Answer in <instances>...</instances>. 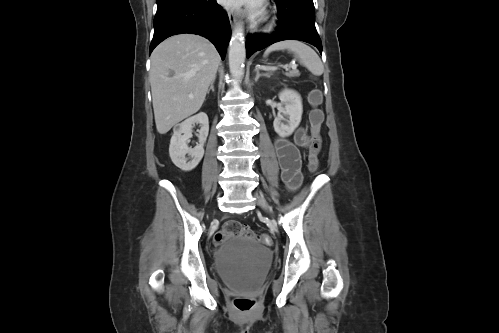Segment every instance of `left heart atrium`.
Returning a JSON list of instances; mask_svg holds the SVG:
<instances>
[{"mask_svg": "<svg viewBox=\"0 0 499 333\" xmlns=\"http://www.w3.org/2000/svg\"><path fill=\"white\" fill-rule=\"evenodd\" d=\"M221 2L227 8H239L246 4L254 13H259L261 10L260 0H221Z\"/></svg>", "mask_w": 499, "mask_h": 333, "instance_id": "1", "label": "left heart atrium"}]
</instances>
